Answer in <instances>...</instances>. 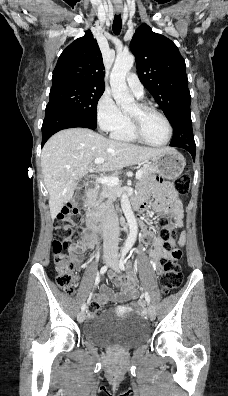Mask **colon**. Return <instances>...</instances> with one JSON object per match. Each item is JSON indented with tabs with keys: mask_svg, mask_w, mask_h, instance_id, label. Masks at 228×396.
Returning a JSON list of instances; mask_svg holds the SVG:
<instances>
[{
	"mask_svg": "<svg viewBox=\"0 0 228 396\" xmlns=\"http://www.w3.org/2000/svg\"><path fill=\"white\" fill-rule=\"evenodd\" d=\"M174 185L178 193L187 195L190 191V176L181 175L174 181ZM81 204L82 198L79 197L67 204L58 214L55 227L57 238L52 243L56 282L67 294L73 293L75 285V264L69 248L72 241L79 235V230L75 228V225ZM159 222L160 237L164 242L163 248L166 253L162 261L164 271L160 277V286L163 293L169 294L179 288L182 282L179 264L182 253L175 244L177 232L172 228L173 220L168 216H161ZM87 311L90 316H97L101 313V304L98 301H92Z\"/></svg>",
	"mask_w": 228,
	"mask_h": 396,
	"instance_id": "colon-1",
	"label": "colon"
}]
</instances>
